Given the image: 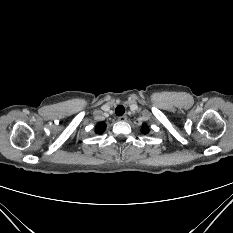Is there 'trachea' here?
Wrapping results in <instances>:
<instances>
[{
    "label": "trachea",
    "mask_w": 233,
    "mask_h": 233,
    "mask_svg": "<svg viewBox=\"0 0 233 233\" xmlns=\"http://www.w3.org/2000/svg\"><path fill=\"white\" fill-rule=\"evenodd\" d=\"M125 113V108L122 105H118L115 109V114L117 116H122Z\"/></svg>",
    "instance_id": "3493384b"
}]
</instances>
